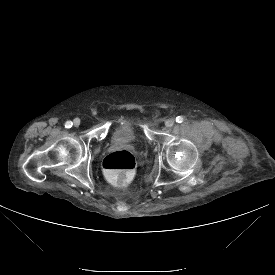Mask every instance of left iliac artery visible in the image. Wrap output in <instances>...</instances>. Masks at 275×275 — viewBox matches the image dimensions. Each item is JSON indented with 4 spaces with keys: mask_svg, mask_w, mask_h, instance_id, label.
I'll use <instances>...</instances> for the list:
<instances>
[{
    "mask_svg": "<svg viewBox=\"0 0 275 275\" xmlns=\"http://www.w3.org/2000/svg\"><path fill=\"white\" fill-rule=\"evenodd\" d=\"M183 120H184V118H183L182 116L176 117V122H177V123H182Z\"/></svg>",
    "mask_w": 275,
    "mask_h": 275,
    "instance_id": "44dca946",
    "label": "left iliac artery"
}]
</instances>
